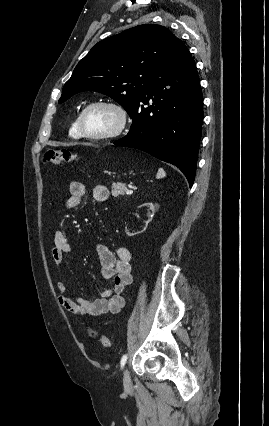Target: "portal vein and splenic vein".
Instances as JSON below:
<instances>
[{"instance_id":"18ae733b","label":"portal vein and splenic vein","mask_w":269,"mask_h":426,"mask_svg":"<svg viewBox=\"0 0 269 426\" xmlns=\"http://www.w3.org/2000/svg\"><path fill=\"white\" fill-rule=\"evenodd\" d=\"M133 193V191L132 190H127L126 191V194H132Z\"/></svg>"}]
</instances>
